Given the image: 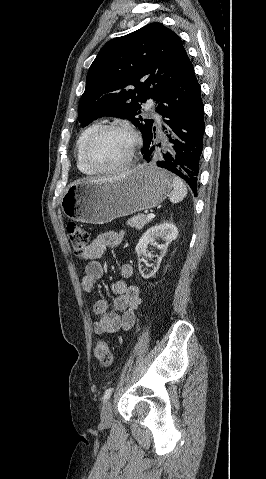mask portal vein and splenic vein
Masks as SVG:
<instances>
[{
    "instance_id": "obj_1",
    "label": "portal vein and splenic vein",
    "mask_w": 266,
    "mask_h": 479,
    "mask_svg": "<svg viewBox=\"0 0 266 479\" xmlns=\"http://www.w3.org/2000/svg\"><path fill=\"white\" fill-rule=\"evenodd\" d=\"M148 219H153L155 218V215L153 213H150L146 216Z\"/></svg>"
}]
</instances>
